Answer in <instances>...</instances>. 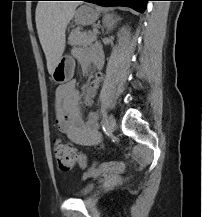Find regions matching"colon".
Wrapping results in <instances>:
<instances>
[{
	"mask_svg": "<svg viewBox=\"0 0 202 217\" xmlns=\"http://www.w3.org/2000/svg\"><path fill=\"white\" fill-rule=\"evenodd\" d=\"M54 155L61 171H70L75 162H78L82 168H87L88 166L87 159L82 153L61 141L56 143ZM124 169L125 164L116 161L102 163L97 168L99 172H121Z\"/></svg>",
	"mask_w": 202,
	"mask_h": 217,
	"instance_id": "1",
	"label": "colon"
}]
</instances>
